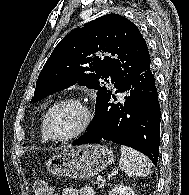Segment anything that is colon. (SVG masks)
<instances>
[{"mask_svg":"<svg viewBox=\"0 0 189 195\" xmlns=\"http://www.w3.org/2000/svg\"><path fill=\"white\" fill-rule=\"evenodd\" d=\"M33 195H54V192L46 182L37 180L33 184Z\"/></svg>","mask_w":189,"mask_h":195,"instance_id":"colon-1","label":"colon"}]
</instances>
